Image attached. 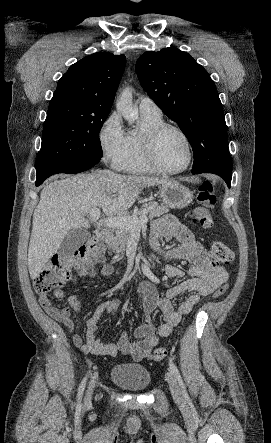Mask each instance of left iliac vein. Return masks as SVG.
<instances>
[{
	"label": "left iliac vein",
	"instance_id": "1",
	"mask_svg": "<svg viewBox=\"0 0 271 443\" xmlns=\"http://www.w3.org/2000/svg\"><path fill=\"white\" fill-rule=\"evenodd\" d=\"M166 378L173 398L175 400H181L182 398L181 389L174 374L169 372L167 373Z\"/></svg>",
	"mask_w": 271,
	"mask_h": 443
}]
</instances>
